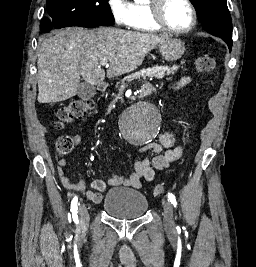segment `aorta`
Masks as SVG:
<instances>
[{"instance_id": "1", "label": "aorta", "mask_w": 256, "mask_h": 267, "mask_svg": "<svg viewBox=\"0 0 256 267\" xmlns=\"http://www.w3.org/2000/svg\"><path fill=\"white\" fill-rule=\"evenodd\" d=\"M158 113L151 101H134L127 117H119V122L121 127H159ZM122 133L127 143H150V138H158L159 128H122Z\"/></svg>"}]
</instances>
